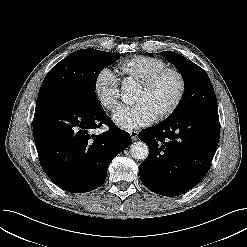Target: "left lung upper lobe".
Instances as JSON below:
<instances>
[{
    "mask_svg": "<svg viewBox=\"0 0 247 247\" xmlns=\"http://www.w3.org/2000/svg\"><path fill=\"white\" fill-rule=\"evenodd\" d=\"M162 56L177 67L185 82L182 101L167 120L196 111L217 110V100L212 83L201 67L174 52L164 51Z\"/></svg>",
    "mask_w": 247,
    "mask_h": 247,
    "instance_id": "5c2ea615",
    "label": "left lung upper lobe"
}]
</instances>
